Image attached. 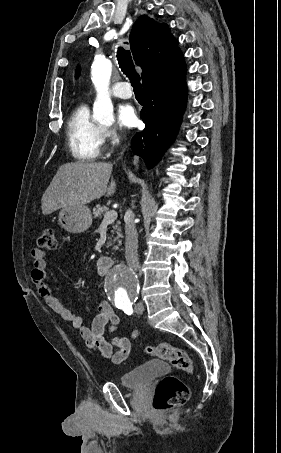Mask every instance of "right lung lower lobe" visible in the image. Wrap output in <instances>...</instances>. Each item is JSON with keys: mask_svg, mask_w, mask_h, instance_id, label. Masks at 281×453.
<instances>
[{"mask_svg": "<svg viewBox=\"0 0 281 453\" xmlns=\"http://www.w3.org/2000/svg\"><path fill=\"white\" fill-rule=\"evenodd\" d=\"M186 67L178 53L142 79L145 104L141 118L146 123L132 140V150L154 166L175 137L187 97Z\"/></svg>", "mask_w": 281, "mask_h": 453, "instance_id": "98d812e1", "label": "right lung lower lobe"}]
</instances>
